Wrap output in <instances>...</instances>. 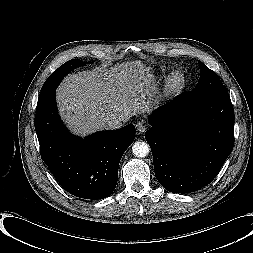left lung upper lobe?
I'll return each instance as SVG.
<instances>
[{"instance_id": "5c2ea615", "label": "left lung upper lobe", "mask_w": 253, "mask_h": 253, "mask_svg": "<svg viewBox=\"0 0 253 253\" xmlns=\"http://www.w3.org/2000/svg\"><path fill=\"white\" fill-rule=\"evenodd\" d=\"M200 79L196 87L192 90L197 96L203 98L214 92L219 86L223 85L218 75L210 70L205 64L199 61Z\"/></svg>"}]
</instances>
